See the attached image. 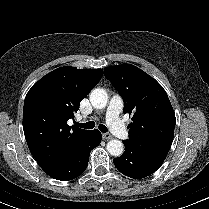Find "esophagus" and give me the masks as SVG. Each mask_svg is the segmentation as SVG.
<instances>
[{"mask_svg":"<svg viewBox=\"0 0 209 209\" xmlns=\"http://www.w3.org/2000/svg\"><path fill=\"white\" fill-rule=\"evenodd\" d=\"M102 138H103L104 140H109V139H112L113 136H112L111 134H109V133H103V134H102Z\"/></svg>","mask_w":209,"mask_h":209,"instance_id":"34e87169","label":"esophagus"}]
</instances>
